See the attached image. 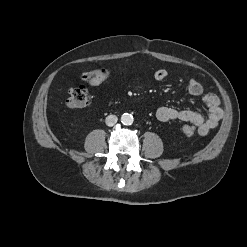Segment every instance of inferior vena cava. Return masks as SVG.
I'll return each mask as SVG.
<instances>
[{"label":"inferior vena cava","mask_w":247,"mask_h":247,"mask_svg":"<svg viewBox=\"0 0 247 247\" xmlns=\"http://www.w3.org/2000/svg\"><path fill=\"white\" fill-rule=\"evenodd\" d=\"M118 118L116 115H108L105 119V123L107 126H114L117 122Z\"/></svg>","instance_id":"1"}]
</instances>
